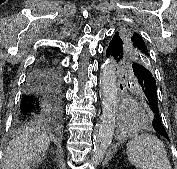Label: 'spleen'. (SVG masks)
<instances>
[{
  "label": "spleen",
  "instance_id": "1",
  "mask_svg": "<svg viewBox=\"0 0 177 169\" xmlns=\"http://www.w3.org/2000/svg\"><path fill=\"white\" fill-rule=\"evenodd\" d=\"M128 160L139 169H171L163 142L154 135L141 134L127 143Z\"/></svg>",
  "mask_w": 177,
  "mask_h": 169
}]
</instances>
